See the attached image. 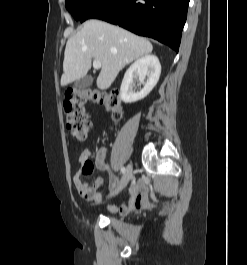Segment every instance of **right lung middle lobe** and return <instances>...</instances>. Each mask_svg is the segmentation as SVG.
I'll return each instance as SVG.
<instances>
[{
  "mask_svg": "<svg viewBox=\"0 0 247 265\" xmlns=\"http://www.w3.org/2000/svg\"><path fill=\"white\" fill-rule=\"evenodd\" d=\"M100 0H66V8L76 20H80L83 15Z\"/></svg>",
  "mask_w": 247,
  "mask_h": 265,
  "instance_id": "1",
  "label": "right lung middle lobe"
}]
</instances>
